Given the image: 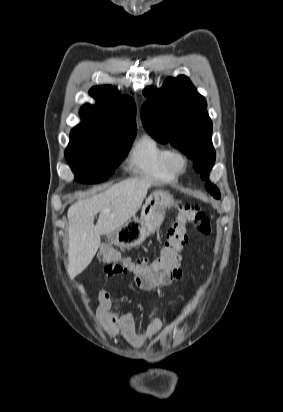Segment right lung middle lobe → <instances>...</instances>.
<instances>
[{"label": "right lung middle lobe", "instance_id": "1", "mask_svg": "<svg viewBox=\"0 0 283 412\" xmlns=\"http://www.w3.org/2000/svg\"><path fill=\"white\" fill-rule=\"evenodd\" d=\"M135 133L119 136H93L75 128L65 157L76 180L98 183L108 179L131 148Z\"/></svg>", "mask_w": 283, "mask_h": 412}]
</instances>
